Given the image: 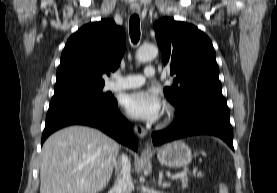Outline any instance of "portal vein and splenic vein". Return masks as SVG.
<instances>
[{
    "label": "portal vein and splenic vein",
    "mask_w": 277,
    "mask_h": 193,
    "mask_svg": "<svg viewBox=\"0 0 277 193\" xmlns=\"http://www.w3.org/2000/svg\"><path fill=\"white\" fill-rule=\"evenodd\" d=\"M193 174H198V172L193 171ZM186 176H187V172L184 171V172H180V173H178V174L173 175L171 178H172V179H178V178H184V177H186Z\"/></svg>",
    "instance_id": "obj_1"
}]
</instances>
